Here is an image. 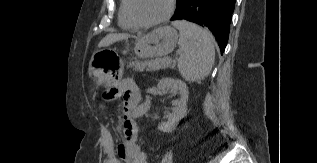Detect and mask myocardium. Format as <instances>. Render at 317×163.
<instances>
[{"label":"myocardium","mask_w":317,"mask_h":163,"mask_svg":"<svg viewBox=\"0 0 317 163\" xmlns=\"http://www.w3.org/2000/svg\"><path fill=\"white\" fill-rule=\"evenodd\" d=\"M133 3L134 0H128V13L133 22L139 27H154L166 22L174 13L176 6V0H169L168 9L163 16L155 20L143 21L135 14Z\"/></svg>","instance_id":"obj_1"}]
</instances>
